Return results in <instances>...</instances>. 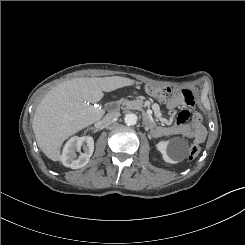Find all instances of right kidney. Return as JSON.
<instances>
[{"instance_id": "ca27d5eb", "label": "right kidney", "mask_w": 245, "mask_h": 245, "mask_svg": "<svg viewBox=\"0 0 245 245\" xmlns=\"http://www.w3.org/2000/svg\"><path fill=\"white\" fill-rule=\"evenodd\" d=\"M81 148L83 152H81ZM94 151V140L91 136L72 137L64 146L61 161L64 166L78 169L85 166ZM77 152L80 155H77Z\"/></svg>"}]
</instances>
